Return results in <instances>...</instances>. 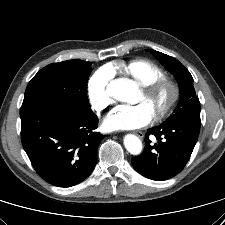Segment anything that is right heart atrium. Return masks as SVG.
I'll return each mask as SVG.
<instances>
[{
	"label": "right heart atrium",
	"instance_id": "right-heart-atrium-1",
	"mask_svg": "<svg viewBox=\"0 0 225 225\" xmlns=\"http://www.w3.org/2000/svg\"><path fill=\"white\" fill-rule=\"evenodd\" d=\"M112 77L113 71L109 67H103L98 69L88 81V99L91 107L97 113L102 112L112 103L109 92Z\"/></svg>",
	"mask_w": 225,
	"mask_h": 225
}]
</instances>
